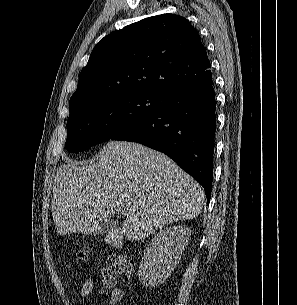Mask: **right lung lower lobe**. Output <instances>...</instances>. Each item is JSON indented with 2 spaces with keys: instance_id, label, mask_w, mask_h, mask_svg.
Returning a JSON list of instances; mask_svg holds the SVG:
<instances>
[{
  "instance_id": "obj_1",
  "label": "right lung lower lobe",
  "mask_w": 297,
  "mask_h": 305,
  "mask_svg": "<svg viewBox=\"0 0 297 305\" xmlns=\"http://www.w3.org/2000/svg\"><path fill=\"white\" fill-rule=\"evenodd\" d=\"M215 125L216 102L210 78L170 92L151 114L111 139L138 142L168 155L204 187L209 203Z\"/></svg>"
}]
</instances>
